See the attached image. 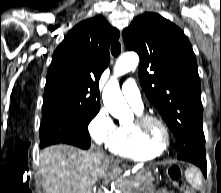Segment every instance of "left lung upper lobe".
Instances as JSON below:
<instances>
[{"label":"left lung upper lobe","instance_id":"5c2ea615","mask_svg":"<svg viewBox=\"0 0 221 193\" xmlns=\"http://www.w3.org/2000/svg\"><path fill=\"white\" fill-rule=\"evenodd\" d=\"M123 39L139 54L141 86L176 140L182 147L205 140L197 62L183 31L161 15L146 12L123 30Z\"/></svg>","mask_w":221,"mask_h":193}]
</instances>
